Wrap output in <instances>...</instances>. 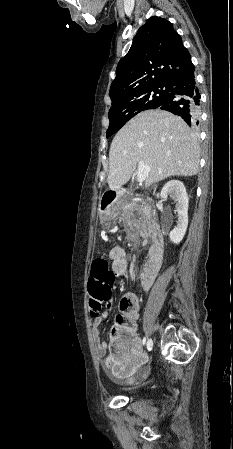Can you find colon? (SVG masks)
I'll list each match as a JSON object with an SVG mask.
<instances>
[{
    "label": "colon",
    "instance_id": "5ec220e1",
    "mask_svg": "<svg viewBox=\"0 0 233 449\" xmlns=\"http://www.w3.org/2000/svg\"><path fill=\"white\" fill-rule=\"evenodd\" d=\"M111 270L105 259L94 260L91 264L88 278L90 292V311L93 315L100 314L107 304L111 293ZM125 314L118 315L111 332V345L118 350H126L133 344L131 335L135 334L136 318L133 312L135 301L132 296H125L120 302Z\"/></svg>",
    "mask_w": 233,
    "mask_h": 449
}]
</instances>
